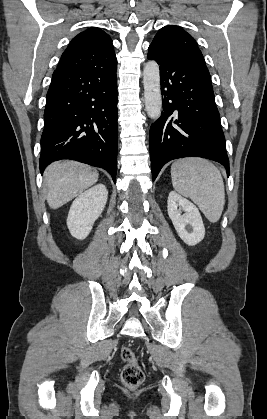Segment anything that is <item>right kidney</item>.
Returning a JSON list of instances; mask_svg holds the SVG:
<instances>
[{"label": "right kidney", "mask_w": 267, "mask_h": 419, "mask_svg": "<svg viewBox=\"0 0 267 419\" xmlns=\"http://www.w3.org/2000/svg\"><path fill=\"white\" fill-rule=\"evenodd\" d=\"M107 198V188L104 184H98L73 201L67 218V227L73 237L83 240L89 235L94 222L104 210Z\"/></svg>", "instance_id": "right-kidney-1"}]
</instances>
